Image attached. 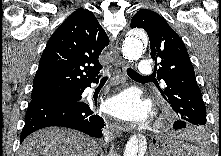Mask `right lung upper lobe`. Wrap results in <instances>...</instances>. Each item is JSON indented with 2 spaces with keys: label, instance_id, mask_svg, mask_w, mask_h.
<instances>
[{
  "label": "right lung upper lobe",
  "instance_id": "right-lung-upper-lobe-1",
  "mask_svg": "<svg viewBox=\"0 0 221 156\" xmlns=\"http://www.w3.org/2000/svg\"><path fill=\"white\" fill-rule=\"evenodd\" d=\"M108 44L92 12L83 8L74 11L43 51L33 81L32 100L77 92L98 79L102 69L98 58Z\"/></svg>",
  "mask_w": 221,
  "mask_h": 156
}]
</instances>
